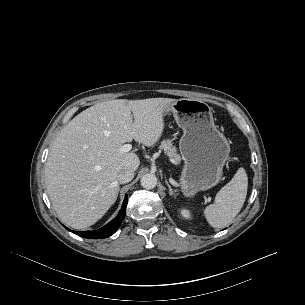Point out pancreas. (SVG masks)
Listing matches in <instances>:
<instances>
[{
	"instance_id": "1",
	"label": "pancreas",
	"mask_w": 305,
	"mask_h": 305,
	"mask_svg": "<svg viewBox=\"0 0 305 305\" xmlns=\"http://www.w3.org/2000/svg\"><path fill=\"white\" fill-rule=\"evenodd\" d=\"M159 149L162 150L165 155H167L173 164H180L181 158L177 153L176 147L173 145L171 140H163L159 146Z\"/></svg>"
}]
</instances>
